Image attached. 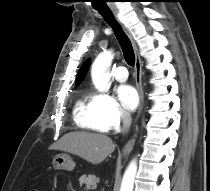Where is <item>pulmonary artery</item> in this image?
<instances>
[{
  "label": "pulmonary artery",
  "instance_id": "e3ab8cb5",
  "mask_svg": "<svg viewBox=\"0 0 210 191\" xmlns=\"http://www.w3.org/2000/svg\"><path fill=\"white\" fill-rule=\"evenodd\" d=\"M115 78L119 82H124L128 78V71L124 66H118L115 71Z\"/></svg>",
  "mask_w": 210,
  "mask_h": 191
}]
</instances>
